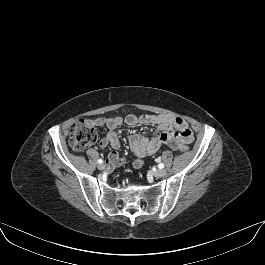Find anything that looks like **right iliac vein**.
I'll list each match as a JSON object with an SVG mask.
<instances>
[{"label":"right iliac vein","instance_id":"obj_1","mask_svg":"<svg viewBox=\"0 0 265 265\" xmlns=\"http://www.w3.org/2000/svg\"><path fill=\"white\" fill-rule=\"evenodd\" d=\"M105 168H106V165L105 164H102L101 163V164L98 165V169L99 170H104Z\"/></svg>","mask_w":265,"mask_h":265}]
</instances>
